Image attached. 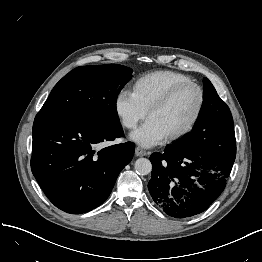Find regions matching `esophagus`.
Segmentation results:
<instances>
[{"label": "esophagus", "mask_w": 262, "mask_h": 262, "mask_svg": "<svg viewBox=\"0 0 262 262\" xmlns=\"http://www.w3.org/2000/svg\"><path fill=\"white\" fill-rule=\"evenodd\" d=\"M135 155L138 156V157H141V156H146L148 155V152H146L144 149H142L141 147H136L135 148Z\"/></svg>", "instance_id": "obj_1"}]
</instances>
